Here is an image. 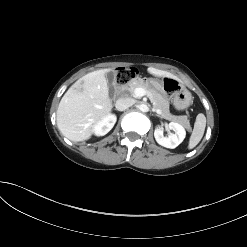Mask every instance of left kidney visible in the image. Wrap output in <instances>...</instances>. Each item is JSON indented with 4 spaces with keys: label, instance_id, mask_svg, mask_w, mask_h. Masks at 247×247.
Segmentation results:
<instances>
[{
    "label": "left kidney",
    "instance_id": "1",
    "mask_svg": "<svg viewBox=\"0 0 247 247\" xmlns=\"http://www.w3.org/2000/svg\"><path fill=\"white\" fill-rule=\"evenodd\" d=\"M168 127L175 131V134L170 133L168 137H164L163 130L160 127H157L154 131V137L159 145L174 149L182 143L186 136V131L182 125L175 122H170Z\"/></svg>",
    "mask_w": 247,
    "mask_h": 247
}]
</instances>
